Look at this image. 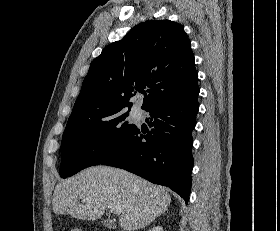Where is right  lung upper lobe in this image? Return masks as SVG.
I'll list each match as a JSON object with an SVG mask.
<instances>
[{"label": "right lung upper lobe", "mask_w": 280, "mask_h": 231, "mask_svg": "<svg viewBox=\"0 0 280 231\" xmlns=\"http://www.w3.org/2000/svg\"><path fill=\"white\" fill-rule=\"evenodd\" d=\"M191 43L183 26L151 20L106 46L84 78L70 119H91L130 111L129 99L148 89L142 109L198 87Z\"/></svg>", "instance_id": "right-lung-upper-lobe-1"}]
</instances>
